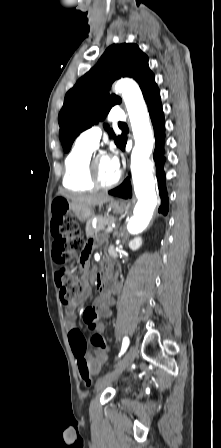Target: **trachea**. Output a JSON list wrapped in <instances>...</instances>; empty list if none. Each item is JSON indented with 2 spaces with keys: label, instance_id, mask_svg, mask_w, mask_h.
I'll return each instance as SVG.
<instances>
[{
  "label": "trachea",
  "instance_id": "obj_1",
  "mask_svg": "<svg viewBox=\"0 0 221 448\" xmlns=\"http://www.w3.org/2000/svg\"><path fill=\"white\" fill-rule=\"evenodd\" d=\"M118 125H119L120 127L127 126L125 123H119Z\"/></svg>",
  "mask_w": 221,
  "mask_h": 448
}]
</instances>
